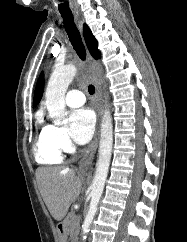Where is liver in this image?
I'll return each mask as SVG.
<instances>
[{
  "label": "liver",
  "instance_id": "liver-1",
  "mask_svg": "<svg viewBox=\"0 0 187 242\" xmlns=\"http://www.w3.org/2000/svg\"><path fill=\"white\" fill-rule=\"evenodd\" d=\"M36 179L50 214L61 221L80 195L83 178L74 169L40 167L36 170Z\"/></svg>",
  "mask_w": 187,
  "mask_h": 242
}]
</instances>
